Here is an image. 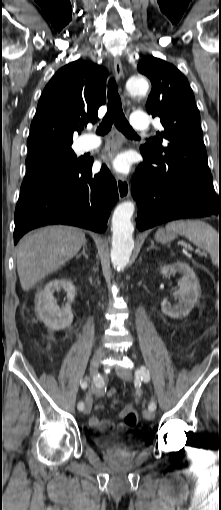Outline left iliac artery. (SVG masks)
I'll use <instances>...</instances> for the list:
<instances>
[{
  "mask_svg": "<svg viewBox=\"0 0 221 510\" xmlns=\"http://www.w3.org/2000/svg\"><path fill=\"white\" fill-rule=\"evenodd\" d=\"M149 380H150V374H149L148 369H146L145 366H140L135 372V383L137 385H140V383H141L140 381L148 382ZM149 409L151 411L156 410V403L151 402L149 404Z\"/></svg>",
  "mask_w": 221,
  "mask_h": 510,
  "instance_id": "obj_1",
  "label": "left iliac artery"
}]
</instances>
